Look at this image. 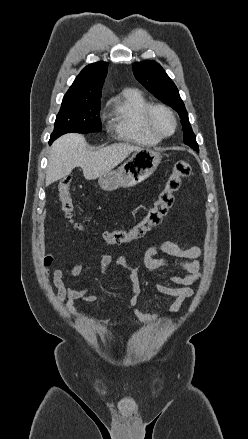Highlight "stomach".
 Returning <instances> with one entry per match:
<instances>
[{
	"label": "stomach",
	"mask_w": 248,
	"mask_h": 439,
	"mask_svg": "<svg viewBox=\"0 0 248 439\" xmlns=\"http://www.w3.org/2000/svg\"><path fill=\"white\" fill-rule=\"evenodd\" d=\"M162 155L151 149L141 148L117 170L99 177L98 183L105 191L133 187L150 177L161 162Z\"/></svg>",
	"instance_id": "0dacf381"
}]
</instances>
